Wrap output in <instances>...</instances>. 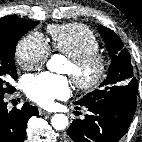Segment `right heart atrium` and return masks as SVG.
<instances>
[{
  "instance_id": "d8ad5b80",
  "label": "right heart atrium",
  "mask_w": 142,
  "mask_h": 142,
  "mask_svg": "<svg viewBox=\"0 0 142 142\" xmlns=\"http://www.w3.org/2000/svg\"><path fill=\"white\" fill-rule=\"evenodd\" d=\"M49 55L47 41L39 32H30L16 45L15 58L24 70H34L41 67Z\"/></svg>"
}]
</instances>
